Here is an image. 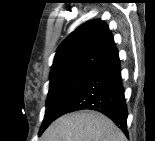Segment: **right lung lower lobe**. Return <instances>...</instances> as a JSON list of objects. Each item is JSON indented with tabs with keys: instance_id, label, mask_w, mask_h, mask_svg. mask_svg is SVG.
<instances>
[{
	"instance_id": "right-lung-lower-lobe-1",
	"label": "right lung lower lobe",
	"mask_w": 155,
	"mask_h": 141,
	"mask_svg": "<svg viewBox=\"0 0 155 141\" xmlns=\"http://www.w3.org/2000/svg\"><path fill=\"white\" fill-rule=\"evenodd\" d=\"M83 109L103 113L128 137L127 107L122 87L120 60L116 49L62 107L60 116Z\"/></svg>"
}]
</instances>
